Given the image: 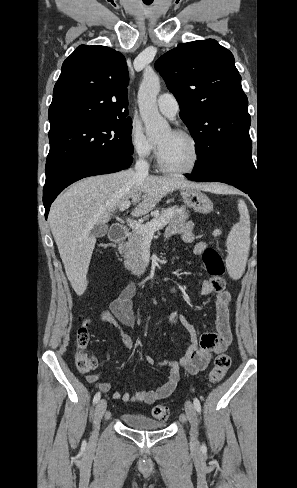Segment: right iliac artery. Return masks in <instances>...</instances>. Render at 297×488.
I'll return each instance as SVG.
<instances>
[{
  "label": "right iliac artery",
  "mask_w": 297,
  "mask_h": 488,
  "mask_svg": "<svg viewBox=\"0 0 297 488\" xmlns=\"http://www.w3.org/2000/svg\"><path fill=\"white\" fill-rule=\"evenodd\" d=\"M101 394L97 392L93 398V403L96 404L100 400Z\"/></svg>",
  "instance_id": "obj_1"
}]
</instances>
